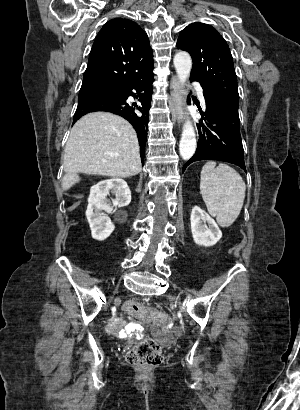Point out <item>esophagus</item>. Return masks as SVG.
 <instances>
[{"label": "esophagus", "instance_id": "obj_1", "mask_svg": "<svg viewBox=\"0 0 300 410\" xmlns=\"http://www.w3.org/2000/svg\"><path fill=\"white\" fill-rule=\"evenodd\" d=\"M170 89H171L170 107L172 110V115H173L174 120H176L178 124H181L183 121L182 97L180 94L179 80L175 76L171 79Z\"/></svg>", "mask_w": 300, "mask_h": 410}]
</instances>
